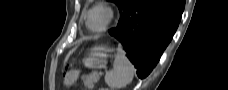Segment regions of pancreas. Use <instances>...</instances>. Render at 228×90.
<instances>
[{"mask_svg": "<svg viewBox=\"0 0 228 90\" xmlns=\"http://www.w3.org/2000/svg\"><path fill=\"white\" fill-rule=\"evenodd\" d=\"M99 76H90L85 80V86L89 89H92L94 87V84L98 81Z\"/></svg>", "mask_w": 228, "mask_h": 90, "instance_id": "cf45deb5", "label": "pancreas"}]
</instances>
